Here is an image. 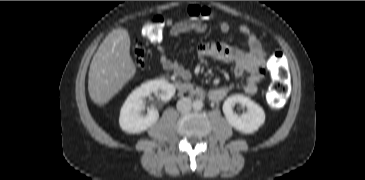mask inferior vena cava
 Wrapping results in <instances>:
<instances>
[{
	"label": "inferior vena cava",
	"instance_id": "obj_1",
	"mask_svg": "<svg viewBox=\"0 0 365 180\" xmlns=\"http://www.w3.org/2000/svg\"><path fill=\"white\" fill-rule=\"evenodd\" d=\"M192 107V101L190 98H181L177 102V110L180 112L188 111Z\"/></svg>",
	"mask_w": 365,
	"mask_h": 180
}]
</instances>
